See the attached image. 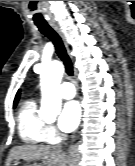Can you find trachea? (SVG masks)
Segmentation results:
<instances>
[{
	"label": "trachea",
	"mask_w": 135,
	"mask_h": 166,
	"mask_svg": "<svg viewBox=\"0 0 135 166\" xmlns=\"http://www.w3.org/2000/svg\"><path fill=\"white\" fill-rule=\"evenodd\" d=\"M36 26L38 27V29L40 30L42 34H44L47 38H49L53 42L57 55L59 56V58L63 61L65 65L66 73L69 76H72L73 65H72L70 57L67 54V51L65 49V46L63 44L61 37L48 23H37Z\"/></svg>",
	"instance_id": "1"
}]
</instances>
